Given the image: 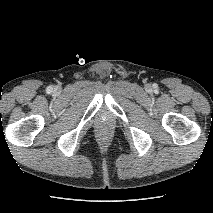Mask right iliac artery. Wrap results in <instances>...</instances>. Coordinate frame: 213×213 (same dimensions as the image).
<instances>
[{"instance_id": "82829eb1", "label": "right iliac artery", "mask_w": 213, "mask_h": 213, "mask_svg": "<svg viewBox=\"0 0 213 213\" xmlns=\"http://www.w3.org/2000/svg\"><path fill=\"white\" fill-rule=\"evenodd\" d=\"M47 91H48V92H51V91H52V88H51V87H48V88H47Z\"/></svg>"}]
</instances>
